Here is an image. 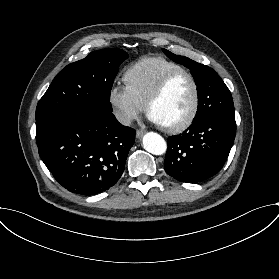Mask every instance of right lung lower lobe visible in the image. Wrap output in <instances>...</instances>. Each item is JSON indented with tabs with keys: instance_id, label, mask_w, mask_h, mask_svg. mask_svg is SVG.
Segmentation results:
<instances>
[{
	"instance_id": "right-lung-lower-lobe-1",
	"label": "right lung lower lobe",
	"mask_w": 279,
	"mask_h": 279,
	"mask_svg": "<svg viewBox=\"0 0 279 279\" xmlns=\"http://www.w3.org/2000/svg\"><path fill=\"white\" fill-rule=\"evenodd\" d=\"M39 155L68 191L96 195L115 185L135 142V130L112 113L86 105L54 108L36 118Z\"/></svg>"
}]
</instances>
